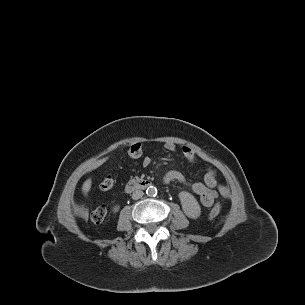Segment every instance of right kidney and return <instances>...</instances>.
Masks as SVG:
<instances>
[{"instance_id": "obj_1", "label": "right kidney", "mask_w": 305, "mask_h": 305, "mask_svg": "<svg viewBox=\"0 0 305 305\" xmlns=\"http://www.w3.org/2000/svg\"><path fill=\"white\" fill-rule=\"evenodd\" d=\"M118 210H119V206L118 205L113 207V212H117Z\"/></svg>"}]
</instances>
